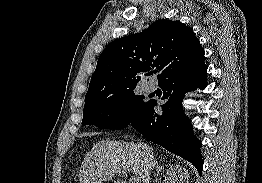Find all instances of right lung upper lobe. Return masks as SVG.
<instances>
[{"instance_id": "obj_1", "label": "right lung upper lobe", "mask_w": 262, "mask_h": 183, "mask_svg": "<svg viewBox=\"0 0 262 183\" xmlns=\"http://www.w3.org/2000/svg\"><path fill=\"white\" fill-rule=\"evenodd\" d=\"M204 63L193 29L180 21L159 20L139 34L111 42L101 53L85 103L136 88L139 74L156 68L158 84Z\"/></svg>"}]
</instances>
